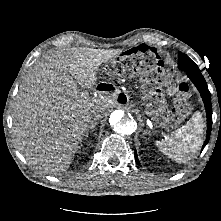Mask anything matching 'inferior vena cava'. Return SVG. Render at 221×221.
<instances>
[{
    "label": "inferior vena cava",
    "instance_id": "1",
    "mask_svg": "<svg viewBox=\"0 0 221 221\" xmlns=\"http://www.w3.org/2000/svg\"><path fill=\"white\" fill-rule=\"evenodd\" d=\"M101 118H102V115H101V114H95V115L93 116V120H94L93 124H97L98 121H99Z\"/></svg>",
    "mask_w": 221,
    "mask_h": 221
}]
</instances>
